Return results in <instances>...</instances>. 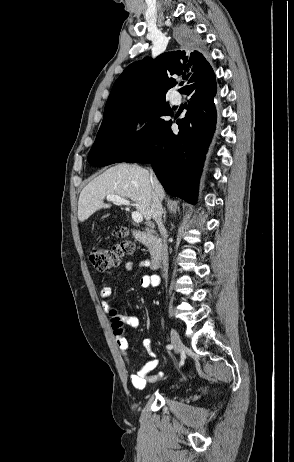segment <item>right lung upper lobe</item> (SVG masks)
Returning a JSON list of instances; mask_svg holds the SVG:
<instances>
[{"label":"right lung upper lobe","instance_id":"cb5924a9","mask_svg":"<svg viewBox=\"0 0 294 462\" xmlns=\"http://www.w3.org/2000/svg\"><path fill=\"white\" fill-rule=\"evenodd\" d=\"M185 73H188V84L180 89L181 93L214 74L209 62L198 51L190 56H185V51L167 52L156 60L146 57L130 64L113 85L104 118L150 99L165 98L166 92L176 85L171 76Z\"/></svg>","mask_w":294,"mask_h":462}]
</instances>
